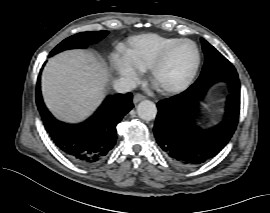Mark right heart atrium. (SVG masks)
<instances>
[{"mask_svg":"<svg viewBox=\"0 0 270 213\" xmlns=\"http://www.w3.org/2000/svg\"><path fill=\"white\" fill-rule=\"evenodd\" d=\"M116 67L123 76L132 81L138 80L139 70L132 68L123 59H116Z\"/></svg>","mask_w":270,"mask_h":213,"instance_id":"obj_1","label":"right heart atrium"}]
</instances>
